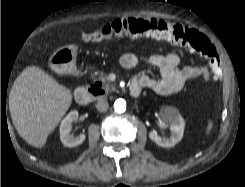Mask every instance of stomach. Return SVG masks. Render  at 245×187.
Masks as SVG:
<instances>
[{
    "instance_id": "obj_1",
    "label": "stomach",
    "mask_w": 245,
    "mask_h": 187,
    "mask_svg": "<svg viewBox=\"0 0 245 187\" xmlns=\"http://www.w3.org/2000/svg\"><path fill=\"white\" fill-rule=\"evenodd\" d=\"M77 50L74 44L59 48L49 59L50 68L59 74L71 72L76 64Z\"/></svg>"
}]
</instances>
